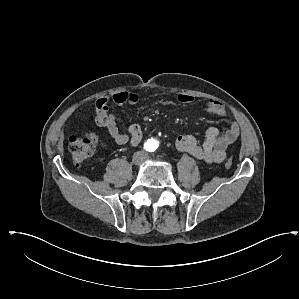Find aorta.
<instances>
[{"mask_svg":"<svg viewBox=\"0 0 299 299\" xmlns=\"http://www.w3.org/2000/svg\"><path fill=\"white\" fill-rule=\"evenodd\" d=\"M147 147L150 150H155L158 147V141L154 138L149 139L147 142Z\"/></svg>","mask_w":299,"mask_h":299,"instance_id":"1","label":"aorta"}]
</instances>
